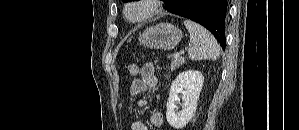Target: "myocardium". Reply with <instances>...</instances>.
Wrapping results in <instances>:
<instances>
[{"label":"myocardium","instance_id":"myocardium-1","mask_svg":"<svg viewBox=\"0 0 299 130\" xmlns=\"http://www.w3.org/2000/svg\"><path fill=\"white\" fill-rule=\"evenodd\" d=\"M161 0H131L123 6V18L127 23L137 24L155 17L162 9Z\"/></svg>","mask_w":299,"mask_h":130}]
</instances>
